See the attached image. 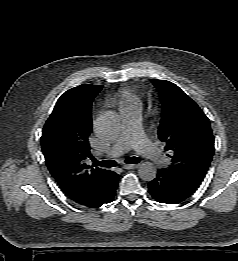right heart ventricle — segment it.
I'll return each mask as SVG.
<instances>
[{"label": "right heart ventricle", "instance_id": "1", "mask_svg": "<svg viewBox=\"0 0 238 261\" xmlns=\"http://www.w3.org/2000/svg\"><path fill=\"white\" fill-rule=\"evenodd\" d=\"M112 102L118 106L120 112L128 109H141L139 96L134 90L127 87L119 89Z\"/></svg>", "mask_w": 238, "mask_h": 261}]
</instances>
